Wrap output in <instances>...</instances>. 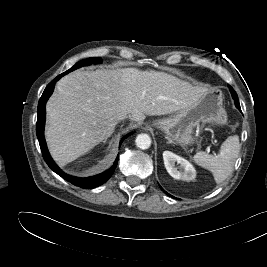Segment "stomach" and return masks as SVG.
Returning <instances> with one entry per match:
<instances>
[{"label": "stomach", "mask_w": 267, "mask_h": 267, "mask_svg": "<svg viewBox=\"0 0 267 267\" xmlns=\"http://www.w3.org/2000/svg\"><path fill=\"white\" fill-rule=\"evenodd\" d=\"M205 124L220 127L227 124L223 107V95L219 91L206 92L193 106L181 109L167 118L155 120L152 126L159 128L174 143L183 147L199 144L202 138L196 129Z\"/></svg>", "instance_id": "stomach-1"}]
</instances>
